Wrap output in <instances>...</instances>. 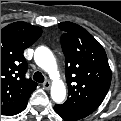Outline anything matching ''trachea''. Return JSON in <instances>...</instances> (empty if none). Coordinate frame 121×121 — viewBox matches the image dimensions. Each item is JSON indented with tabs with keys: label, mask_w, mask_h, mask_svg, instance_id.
I'll use <instances>...</instances> for the list:
<instances>
[{
	"label": "trachea",
	"mask_w": 121,
	"mask_h": 121,
	"mask_svg": "<svg viewBox=\"0 0 121 121\" xmlns=\"http://www.w3.org/2000/svg\"><path fill=\"white\" fill-rule=\"evenodd\" d=\"M33 79L36 82H39V83H43L44 82V76L40 72H35L34 76H33Z\"/></svg>",
	"instance_id": "obj_1"
}]
</instances>
